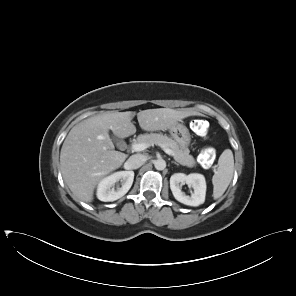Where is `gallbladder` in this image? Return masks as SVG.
Listing matches in <instances>:
<instances>
[{
  "instance_id": "obj_1",
  "label": "gallbladder",
  "mask_w": 296,
  "mask_h": 296,
  "mask_svg": "<svg viewBox=\"0 0 296 296\" xmlns=\"http://www.w3.org/2000/svg\"><path fill=\"white\" fill-rule=\"evenodd\" d=\"M114 140H115L117 146L123 145V143H124L123 141L118 140L117 138H115Z\"/></svg>"
}]
</instances>
